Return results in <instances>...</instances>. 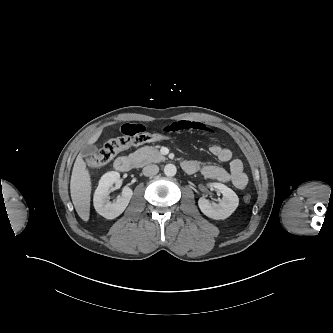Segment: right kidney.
<instances>
[{"mask_svg":"<svg viewBox=\"0 0 333 333\" xmlns=\"http://www.w3.org/2000/svg\"><path fill=\"white\" fill-rule=\"evenodd\" d=\"M119 177L120 175L116 171L105 173L101 177L94 194L93 202L95 210L106 219H114L123 213L133 195L131 188L124 187L117 200L115 202L110 201L109 189Z\"/></svg>","mask_w":333,"mask_h":333,"instance_id":"1","label":"right kidney"}]
</instances>
